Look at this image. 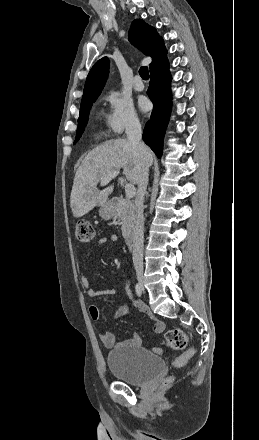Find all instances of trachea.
Segmentation results:
<instances>
[{
    "label": "trachea",
    "instance_id": "trachea-1",
    "mask_svg": "<svg viewBox=\"0 0 259 440\" xmlns=\"http://www.w3.org/2000/svg\"><path fill=\"white\" fill-rule=\"evenodd\" d=\"M139 74L143 80L149 79V72H148V68L146 66H143L139 69Z\"/></svg>",
    "mask_w": 259,
    "mask_h": 440
}]
</instances>
